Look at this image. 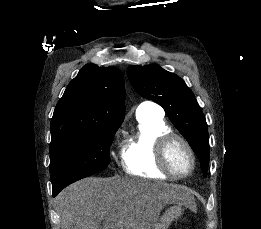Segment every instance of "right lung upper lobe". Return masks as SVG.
<instances>
[{"label": "right lung upper lobe", "mask_w": 261, "mask_h": 229, "mask_svg": "<svg viewBox=\"0 0 261 229\" xmlns=\"http://www.w3.org/2000/svg\"><path fill=\"white\" fill-rule=\"evenodd\" d=\"M124 99V79L118 68L85 65L55 107L50 146L97 126L121 125Z\"/></svg>", "instance_id": "1"}]
</instances>
